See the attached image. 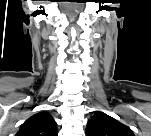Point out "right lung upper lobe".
Wrapping results in <instances>:
<instances>
[{"instance_id":"cb5924a9","label":"right lung upper lobe","mask_w":151,"mask_h":136,"mask_svg":"<svg viewBox=\"0 0 151 136\" xmlns=\"http://www.w3.org/2000/svg\"><path fill=\"white\" fill-rule=\"evenodd\" d=\"M17 136H57L56 122L47 112L37 113L21 125Z\"/></svg>"}]
</instances>
